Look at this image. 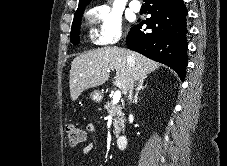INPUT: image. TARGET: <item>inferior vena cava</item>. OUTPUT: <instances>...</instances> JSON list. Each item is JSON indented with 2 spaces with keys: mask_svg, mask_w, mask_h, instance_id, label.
Segmentation results:
<instances>
[{
  "mask_svg": "<svg viewBox=\"0 0 227 166\" xmlns=\"http://www.w3.org/2000/svg\"><path fill=\"white\" fill-rule=\"evenodd\" d=\"M132 94H133V80L130 79L129 94H128V99L130 100V102L132 101Z\"/></svg>",
  "mask_w": 227,
  "mask_h": 166,
  "instance_id": "inferior-vena-cava-1",
  "label": "inferior vena cava"
}]
</instances>
